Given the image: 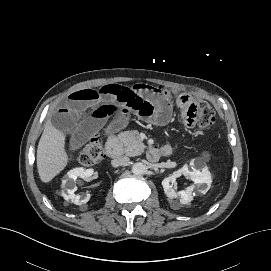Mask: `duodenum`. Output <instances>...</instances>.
Returning <instances> with one entry per match:
<instances>
[{"mask_svg":"<svg viewBox=\"0 0 271 271\" xmlns=\"http://www.w3.org/2000/svg\"><path fill=\"white\" fill-rule=\"evenodd\" d=\"M106 153L110 158L116 159L121 157V146L116 135H110L106 140ZM151 155L159 154L155 150L150 151Z\"/></svg>","mask_w":271,"mask_h":271,"instance_id":"duodenum-1","label":"duodenum"}]
</instances>
